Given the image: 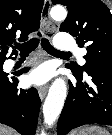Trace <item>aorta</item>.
<instances>
[{"mask_svg": "<svg viewBox=\"0 0 112 135\" xmlns=\"http://www.w3.org/2000/svg\"><path fill=\"white\" fill-rule=\"evenodd\" d=\"M67 16L64 7L58 6L51 9V17L54 20L61 21ZM67 96V87L63 78L54 80L49 88L48 95L43 105L44 122L48 126H52L59 117Z\"/></svg>", "mask_w": 112, "mask_h": 135, "instance_id": "obj_1", "label": "aorta"}]
</instances>
